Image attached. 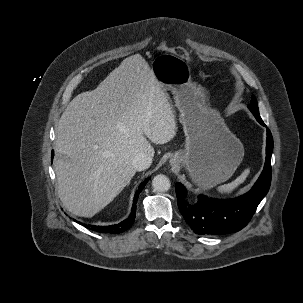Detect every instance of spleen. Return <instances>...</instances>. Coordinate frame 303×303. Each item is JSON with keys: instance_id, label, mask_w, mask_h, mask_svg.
Wrapping results in <instances>:
<instances>
[{"instance_id": "spleen-1", "label": "spleen", "mask_w": 303, "mask_h": 303, "mask_svg": "<svg viewBox=\"0 0 303 303\" xmlns=\"http://www.w3.org/2000/svg\"><path fill=\"white\" fill-rule=\"evenodd\" d=\"M249 173H250V169L249 168L245 169L242 172V174L239 177H237L234 181H232L231 183L219 186L217 188L218 192L221 194L232 193L233 190H235L240 184H242L246 180Z\"/></svg>"}]
</instances>
